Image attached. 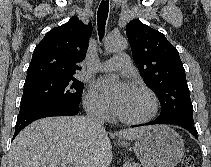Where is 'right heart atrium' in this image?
Segmentation results:
<instances>
[{
	"instance_id": "obj_1",
	"label": "right heart atrium",
	"mask_w": 211,
	"mask_h": 167,
	"mask_svg": "<svg viewBox=\"0 0 211 167\" xmlns=\"http://www.w3.org/2000/svg\"><path fill=\"white\" fill-rule=\"evenodd\" d=\"M87 110L96 115H105L107 108L105 104L93 93L88 92L84 99Z\"/></svg>"
}]
</instances>
